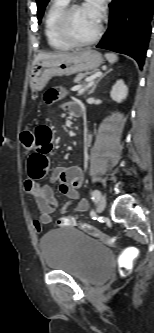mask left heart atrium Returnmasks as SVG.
Returning a JSON list of instances; mask_svg holds the SVG:
<instances>
[{
  "instance_id": "obj_1",
  "label": "left heart atrium",
  "mask_w": 154,
  "mask_h": 333,
  "mask_svg": "<svg viewBox=\"0 0 154 333\" xmlns=\"http://www.w3.org/2000/svg\"><path fill=\"white\" fill-rule=\"evenodd\" d=\"M84 7L100 20L103 12V0H86Z\"/></svg>"
}]
</instances>
